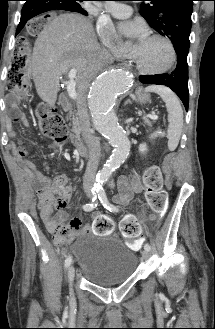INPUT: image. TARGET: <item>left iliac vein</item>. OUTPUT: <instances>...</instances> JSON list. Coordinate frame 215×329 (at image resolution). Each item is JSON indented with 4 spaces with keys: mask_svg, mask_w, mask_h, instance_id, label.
<instances>
[{
    "mask_svg": "<svg viewBox=\"0 0 215 329\" xmlns=\"http://www.w3.org/2000/svg\"><path fill=\"white\" fill-rule=\"evenodd\" d=\"M148 257H149V250H143L142 251V258L144 259V260H147L148 259Z\"/></svg>",
    "mask_w": 215,
    "mask_h": 329,
    "instance_id": "1",
    "label": "left iliac vein"
}]
</instances>
